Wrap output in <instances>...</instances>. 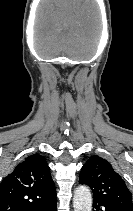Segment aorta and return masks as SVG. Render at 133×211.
Wrapping results in <instances>:
<instances>
[{"label": "aorta", "mask_w": 133, "mask_h": 211, "mask_svg": "<svg viewBox=\"0 0 133 211\" xmlns=\"http://www.w3.org/2000/svg\"><path fill=\"white\" fill-rule=\"evenodd\" d=\"M74 211H91L92 196L86 186H79L74 193L73 198Z\"/></svg>", "instance_id": "obj_1"}]
</instances>
